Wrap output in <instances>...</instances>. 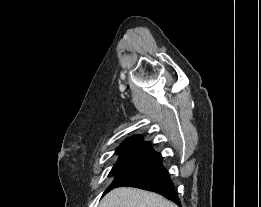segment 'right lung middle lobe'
Wrapping results in <instances>:
<instances>
[{
    "label": "right lung middle lobe",
    "mask_w": 261,
    "mask_h": 207,
    "mask_svg": "<svg viewBox=\"0 0 261 207\" xmlns=\"http://www.w3.org/2000/svg\"><path fill=\"white\" fill-rule=\"evenodd\" d=\"M159 165L156 161L130 160L119 161L112 168L109 175H115V179L104 192V195L116 187L124 185L129 180L142 175Z\"/></svg>",
    "instance_id": "1"
}]
</instances>
